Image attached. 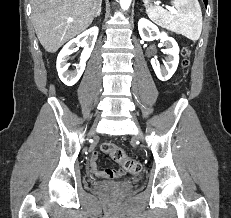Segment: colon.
Masks as SVG:
<instances>
[{
	"instance_id": "1",
	"label": "colon",
	"mask_w": 231,
	"mask_h": 218,
	"mask_svg": "<svg viewBox=\"0 0 231 218\" xmlns=\"http://www.w3.org/2000/svg\"><path fill=\"white\" fill-rule=\"evenodd\" d=\"M182 67L185 73H187L188 67H189V59H188V50L183 49L182 50ZM102 151L108 154L114 161L120 163L123 168L131 173L136 174L139 173L141 170V164L136 159H133L129 157L126 152L120 148L119 146L106 142L102 145ZM113 200L116 201V196L113 195Z\"/></svg>"
}]
</instances>
